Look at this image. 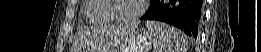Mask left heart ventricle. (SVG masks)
Returning <instances> with one entry per match:
<instances>
[{
	"label": "left heart ventricle",
	"instance_id": "left-heart-ventricle-1",
	"mask_svg": "<svg viewBox=\"0 0 261 52\" xmlns=\"http://www.w3.org/2000/svg\"><path fill=\"white\" fill-rule=\"evenodd\" d=\"M112 10L113 17L128 18L133 15L140 6V0H115Z\"/></svg>",
	"mask_w": 261,
	"mask_h": 52
}]
</instances>
